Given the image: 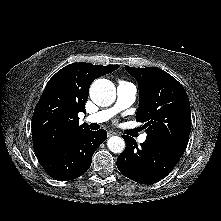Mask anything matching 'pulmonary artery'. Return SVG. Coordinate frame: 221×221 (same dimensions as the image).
<instances>
[{"mask_svg": "<svg viewBox=\"0 0 221 221\" xmlns=\"http://www.w3.org/2000/svg\"><path fill=\"white\" fill-rule=\"evenodd\" d=\"M137 90L136 87L126 81H119L117 84V100L113 107L104 109L93 113L85 118L89 123H103L109 120L116 113L132 105L136 99ZM139 142L143 143L146 140V135L143 134L139 137Z\"/></svg>", "mask_w": 221, "mask_h": 221, "instance_id": "obj_1", "label": "pulmonary artery"}]
</instances>
